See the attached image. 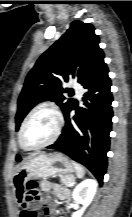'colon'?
Wrapping results in <instances>:
<instances>
[{"instance_id": "1", "label": "colon", "mask_w": 132, "mask_h": 217, "mask_svg": "<svg viewBox=\"0 0 132 217\" xmlns=\"http://www.w3.org/2000/svg\"><path fill=\"white\" fill-rule=\"evenodd\" d=\"M24 198L27 202H35L40 198V191L35 181H29L24 191ZM27 217H35L32 212H29Z\"/></svg>"}]
</instances>
